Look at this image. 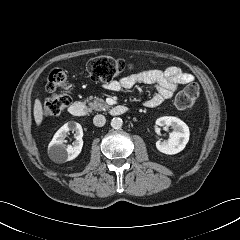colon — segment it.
Returning a JSON list of instances; mask_svg holds the SVG:
<instances>
[{
  "label": "colon",
  "mask_w": 240,
  "mask_h": 240,
  "mask_svg": "<svg viewBox=\"0 0 240 240\" xmlns=\"http://www.w3.org/2000/svg\"><path fill=\"white\" fill-rule=\"evenodd\" d=\"M133 68L130 62L113 57H96L87 64L91 78L101 83H110L120 74L131 71ZM46 88L49 92L60 90V93L47 99L43 107V114L45 117L58 116L70 103L72 84L63 70L56 69L49 74ZM198 96V86L191 83L177 95L175 104L180 110L190 111L193 109Z\"/></svg>",
  "instance_id": "obj_1"
}]
</instances>
